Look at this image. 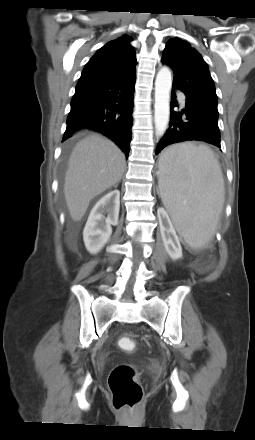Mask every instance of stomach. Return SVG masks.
Wrapping results in <instances>:
<instances>
[{
	"mask_svg": "<svg viewBox=\"0 0 255 440\" xmlns=\"http://www.w3.org/2000/svg\"><path fill=\"white\" fill-rule=\"evenodd\" d=\"M159 165H162V156L160 158Z\"/></svg>",
	"mask_w": 255,
	"mask_h": 440,
	"instance_id": "stomach-1",
	"label": "stomach"
}]
</instances>
